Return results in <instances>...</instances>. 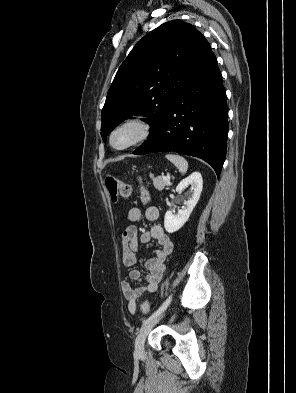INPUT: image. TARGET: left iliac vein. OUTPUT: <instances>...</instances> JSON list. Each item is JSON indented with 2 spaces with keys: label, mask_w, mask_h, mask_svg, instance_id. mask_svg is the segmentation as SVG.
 Masks as SVG:
<instances>
[{
  "label": "left iliac vein",
  "mask_w": 296,
  "mask_h": 393,
  "mask_svg": "<svg viewBox=\"0 0 296 393\" xmlns=\"http://www.w3.org/2000/svg\"><path fill=\"white\" fill-rule=\"evenodd\" d=\"M163 317V314L158 315L154 319H152L149 323H147L139 332L136 341H135V354L138 356H142L144 354L145 348V340L152 330V328L159 322V320Z\"/></svg>",
  "instance_id": "1"
}]
</instances>
